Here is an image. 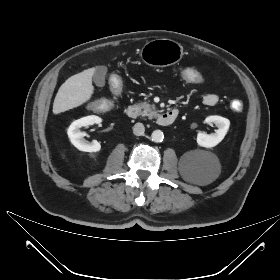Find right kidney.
<instances>
[{"label": "right kidney", "mask_w": 280, "mask_h": 280, "mask_svg": "<svg viewBox=\"0 0 280 280\" xmlns=\"http://www.w3.org/2000/svg\"><path fill=\"white\" fill-rule=\"evenodd\" d=\"M101 118L95 115L82 117L75 120L68 128L67 134L71 143L80 151L84 152H98L101 149V145L98 141L94 140L91 143L83 139L85 133L81 132V128L84 126H90L93 124L101 123Z\"/></svg>", "instance_id": "1"}]
</instances>
